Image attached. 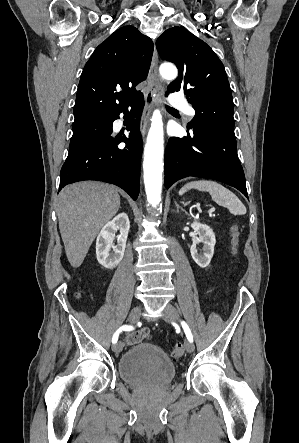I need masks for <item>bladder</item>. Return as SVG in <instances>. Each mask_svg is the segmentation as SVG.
I'll return each instance as SVG.
<instances>
[{
	"mask_svg": "<svg viewBox=\"0 0 299 443\" xmlns=\"http://www.w3.org/2000/svg\"><path fill=\"white\" fill-rule=\"evenodd\" d=\"M117 372L131 386H164L174 380L176 367L159 346L139 343L120 357Z\"/></svg>",
	"mask_w": 299,
	"mask_h": 443,
	"instance_id": "obj_1",
	"label": "bladder"
}]
</instances>
